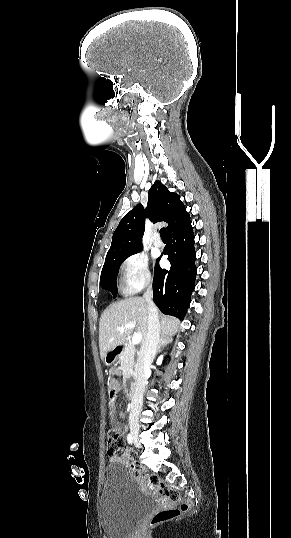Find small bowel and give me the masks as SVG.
<instances>
[{
    "mask_svg": "<svg viewBox=\"0 0 291 538\" xmlns=\"http://www.w3.org/2000/svg\"><path fill=\"white\" fill-rule=\"evenodd\" d=\"M118 375V370H113L110 373V376L108 378V385L110 391L114 392L115 395L119 390V383L116 379V376ZM122 416V414L116 409L115 403H112V412H111V422L114 425V427L120 432L121 435L125 432L124 425L119 421V418ZM110 462L112 463H126L129 464L131 462V450L128 449L124 451L120 455H114L110 457Z\"/></svg>",
    "mask_w": 291,
    "mask_h": 538,
    "instance_id": "c3829d8e",
    "label": "small bowel"
}]
</instances>
